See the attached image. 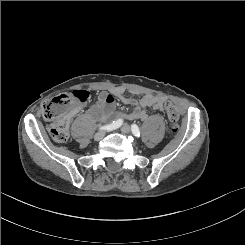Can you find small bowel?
I'll return each mask as SVG.
<instances>
[{
  "mask_svg": "<svg viewBox=\"0 0 245 245\" xmlns=\"http://www.w3.org/2000/svg\"><path fill=\"white\" fill-rule=\"evenodd\" d=\"M122 102L126 105L134 106V109L127 115L128 119H147L146 108L162 110L165 98L153 94H145L139 99L131 97H122ZM115 108V99L108 92H101L98 95L97 102L90 108L89 115L94 120L105 119L109 117Z\"/></svg>",
  "mask_w": 245,
  "mask_h": 245,
  "instance_id": "small-bowel-1",
  "label": "small bowel"
}]
</instances>
